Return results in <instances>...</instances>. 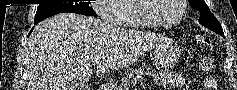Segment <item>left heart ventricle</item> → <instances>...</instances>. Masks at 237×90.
I'll return each mask as SVG.
<instances>
[{"mask_svg":"<svg viewBox=\"0 0 237 90\" xmlns=\"http://www.w3.org/2000/svg\"><path fill=\"white\" fill-rule=\"evenodd\" d=\"M177 0H149L142 2V11L151 20L157 22L164 20L171 23L178 15Z\"/></svg>","mask_w":237,"mask_h":90,"instance_id":"b2bd125f","label":"left heart ventricle"}]
</instances>
